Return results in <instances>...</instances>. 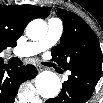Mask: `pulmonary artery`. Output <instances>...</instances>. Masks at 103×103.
<instances>
[{
  "label": "pulmonary artery",
  "mask_w": 103,
  "mask_h": 103,
  "mask_svg": "<svg viewBox=\"0 0 103 103\" xmlns=\"http://www.w3.org/2000/svg\"><path fill=\"white\" fill-rule=\"evenodd\" d=\"M63 33V24L60 19L51 18L48 22V31L46 36L40 41L27 42L18 46L14 54L19 57H29L37 55L52 46H54Z\"/></svg>",
  "instance_id": "e3ab8cb5"
}]
</instances>
